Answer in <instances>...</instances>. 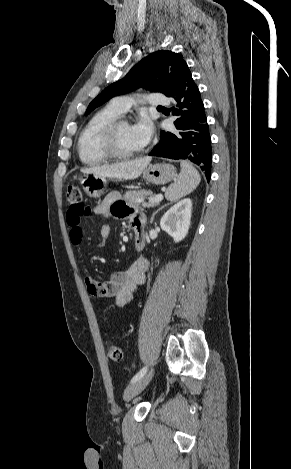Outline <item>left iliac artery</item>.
<instances>
[{"mask_svg": "<svg viewBox=\"0 0 291 469\" xmlns=\"http://www.w3.org/2000/svg\"><path fill=\"white\" fill-rule=\"evenodd\" d=\"M147 372V367H143L132 379H131V383L137 381L138 379H140L141 377H143Z\"/></svg>", "mask_w": 291, "mask_h": 469, "instance_id": "1", "label": "left iliac artery"}]
</instances>
